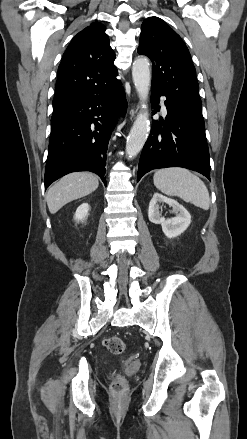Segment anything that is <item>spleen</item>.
<instances>
[{"label": "spleen", "instance_id": "spleen-1", "mask_svg": "<svg viewBox=\"0 0 247 439\" xmlns=\"http://www.w3.org/2000/svg\"><path fill=\"white\" fill-rule=\"evenodd\" d=\"M154 185L168 196H178L185 202L208 210L209 192L204 182L188 169L174 167L160 169L153 177Z\"/></svg>", "mask_w": 247, "mask_h": 439}]
</instances>
